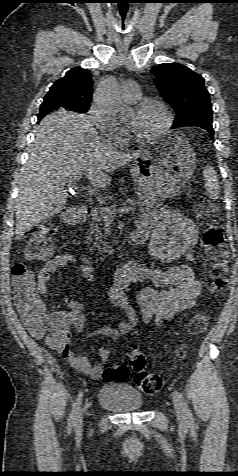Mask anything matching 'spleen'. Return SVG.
Returning a JSON list of instances; mask_svg holds the SVG:
<instances>
[{
  "label": "spleen",
  "mask_w": 238,
  "mask_h": 476,
  "mask_svg": "<svg viewBox=\"0 0 238 476\" xmlns=\"http://www.w3.org/2000/svg\"><path fill=\"white\" fill-rule=\"evenodd\" d=\"M203 176L209 198L216 200L219 196L220 189L217 172L212 166L207 165L203 170Z\"/></svg>",
  "instance_id": "1"
}]
</instances>
